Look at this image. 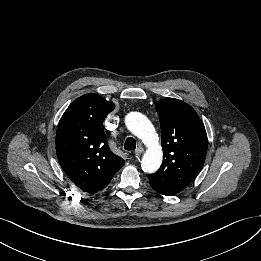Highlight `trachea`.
<instances>
[{
    "instance_id": "3493384b",
    "label": "trachea",
    "mask_w": 261,
    "mask_h": 261,
    "mask_svg": "<svg viewBox=\"0 0 261 261\" xmlns=\"http://www.w3.org/2000/svg\"><path fill=\"white\" fill-rule=\"evenodd\" d=\"M136 148V141L133 137H128L124 143V149L132 151Z\"/></svg>"
}]
</instances>
